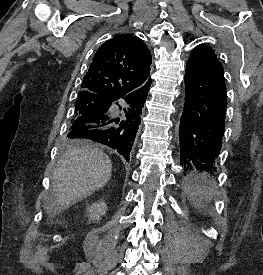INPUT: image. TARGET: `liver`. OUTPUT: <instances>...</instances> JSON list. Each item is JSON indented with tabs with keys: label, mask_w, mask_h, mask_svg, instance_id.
<instances>
[{
	"label": "liver",
	"mask_w": 263,
	"mask_h": 275,
	"mask_svg": "<svg viewBox=\"0 0 263 275\" xmlns=\"http://www.w3.org/2000/svg\"><path fill=\"white\" fill-rule=\"evenodd\" d=\"M111 172L112 162L102 150L89 146L69 149L53 173V199L46 207L50 217L103 188Z\"/></svg>",
	"instance_id": "6515ba94"
}]
</instances>
